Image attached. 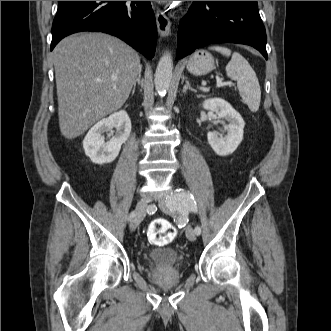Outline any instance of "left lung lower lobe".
<instances>
[{"mask_svg": "<svg viewBox=\"0 0 331 331\" xmlns=\"http://www.w3.org/2000/svg\"><path fill=\"white\" fill-rule=\"evenodd\" d=\"M177 57L211 43L253 46L267 59L257 1H194L178 29Z\"/></svg>", "mask_w": 331, "mask_h": 331, "instance_id": "left-lung-lower-lobe-1", "label": "left lung lower lobe"}]
</instances>
